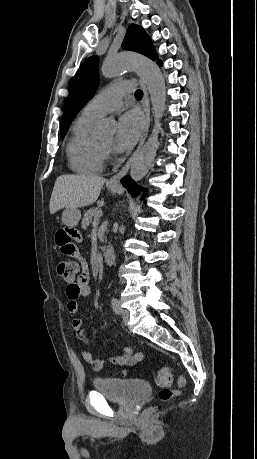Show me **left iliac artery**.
I'll list each match as a JSON object with an SVG mask.
<instances>
[{"instance_id":"1","label":"left iliac artery","mask_w":257,"mask_h":459,"mask_svg":"<svg viewBox=\"0 0 257 459\" xmlns=\"http://www.w3.org/2000/svg\"><path fill=\"white\" fill-rule=\"evenodd\" d=\"M111 305H112L113 311H114L116 314L120 315V313H121V306H120L119 301H118L116 298H112V300H111Z\"/></svg>"}]
</instances>
